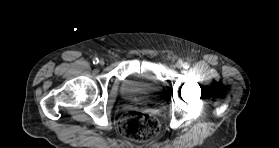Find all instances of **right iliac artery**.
<instances>
[{"mask_svg":"<svg viewBox=\"0 0 279 148\" xmlns=\"http://www.w3.org/2000/svg\"><path fill=\"white\" fill-rule=\"evenodd\" d=\"M99 63V59L98 58H94L93 59V64H98Z\"/></svg>","mask_w":279,"mask_h":148,"instance_id":"obj_1","label":"right iliac artery"}]
</instances>
